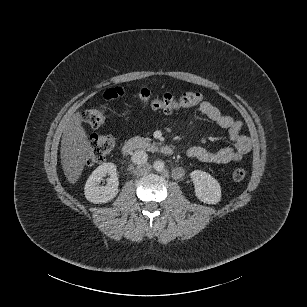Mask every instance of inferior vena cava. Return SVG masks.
Wrapping results in <instances>:
<instances>
[{
  "label": "inferior vena cava",
  "mask_w": 307,
  "mask_h": 307,
  "mask_svg": "<svg viewBox=\"0 0 307 307\" xmlns=\"http://www.w3.org/2000/svg\"><path fill=\"white\" fill-rule=\"evenodd\" d=\"M132 162L135 163V164H143V163H146L147 160H148V155L145 151L143 150H136L132 157Z\"/></svg>",
  "instance_id": "inferior-vena-cava-1"
}]
</instances>
